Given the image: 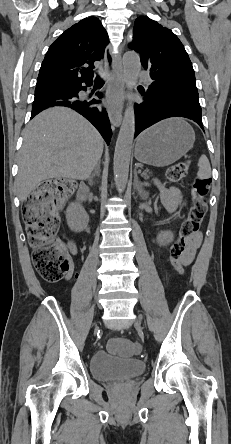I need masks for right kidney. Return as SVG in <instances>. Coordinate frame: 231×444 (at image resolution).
Here are the masks:
<instances>
[{"instance_id":"ca27d5eb","label":"right kidney","mask_w":231,"mask_h":444,"mask_svg":"<svg viewBox=\"0 0 231 444\" xmlns=\"http://www.w3.org/2000/svg\"><path fill=\"white\" fill-rule=\"evenodd\" d=\"M66 219L72 231L80 232L86 227L89 216L80 205L71 203L66 210Z\"/></svg>"}]
</instances>
